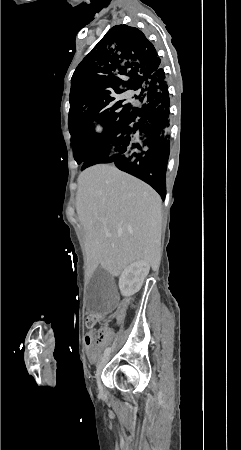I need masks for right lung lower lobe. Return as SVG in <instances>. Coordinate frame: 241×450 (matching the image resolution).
I'll use <instances>...</instances> for the list:
<instances>
[{
    "label": "right lung lower lobe",
    "instance_id": "1",
    "mask_svg": "<svg viewBox=\"0 0 241 450\" xmlns=\"http://www.w3.org/2000/svg\"><path fill=\"white\" fill-rule=\"evenodd\" d=\"M144 92L142 98L145 107L133 121H128L115 128L96 145L93 144L91 128L84 122L75 127L71 134L74 155L87 157L84 165L114 164L153 187L165 198V177L170 152V142L166 133L169 126L170 99L165 73L162 68L143 77ZM136 134L143 141L121 156L116 149L127 143Z\"/></svg>",
    "mask_w": 241,
    "mask_h": 450
}]
</instances>
